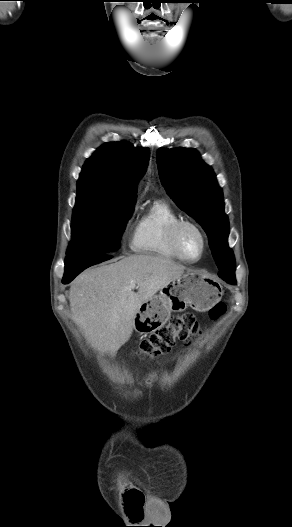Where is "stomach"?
<instances>
[{
    "label": "stomach",
    "mask_w": 292,
    "mask_h": 527,
    "mask_svg": "<svg viewBox=\"0 0 292 527\" xmlns=\"http://www.w3.org/2000/svg\"><path fill=\"white\" fill-rule=\"evenodd\" d=\"M222 294V286L214 278L188 271L162 288L159 295L141 304L134 316L133 328L140 334L153 333L165 325L171 311L182 312L191 307L205 312L221 300Z\"/></svg>",
    "instance_id": "0dacf381"
}]
</instances>
